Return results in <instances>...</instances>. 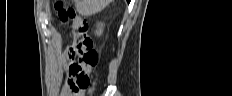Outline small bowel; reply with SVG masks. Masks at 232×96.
Listing matches in <instances>:
<instances>
[{"mask_svg": "<svg viewBox=\"0 0 232 96\" xmlns=\"http://www.w3.org/2000/svg\"><path fill=\"white\" fill-rule=\"evenodd\" d=\"M67 59L69 60V55L67 57ZM85 72L87 74H90L91 70L90 69H85ZM69 73V71H68ZM76 77L72 74L69 73V78L68 80L66 81V84L63 88V91H62V95L63 96H71L72 95V91H75L76 90Z\"/></svg>", "mask_w": 232, "mask_h": 96, "instance_id": "obj_1", "label": "small bowel"}]
</instances>
